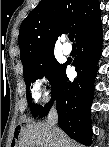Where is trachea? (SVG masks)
Returning <instances> with one entry per match:
<instances>
[{
    "label": "trachea",
    "instance_id": "3493384b",
    "mask_svg": "<svg viewBox=\"0 0 109 147\" xmlns=\"http://www.w3.org/2000/svg\"><path fill=\"white\" fill-rule=\"evenodd\" d=\"M69 39H70L71 42H73V40H74V34H69ZM73 45H75V44L73 43Z\"/></svg>",
    "mask_w": 109,
    "mask_h": 147
}]
</instances>
